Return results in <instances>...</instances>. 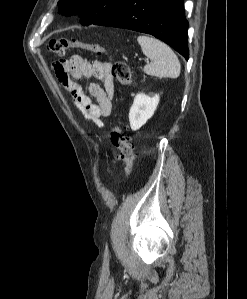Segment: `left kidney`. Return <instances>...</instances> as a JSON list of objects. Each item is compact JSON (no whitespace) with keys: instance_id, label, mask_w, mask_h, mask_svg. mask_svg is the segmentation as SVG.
<instances>
[{"instance_id":"left-kidney-1","label":"left kidney","mask_w":247,"mask_h":299,"mask_svg":"<svg viewBox=\"0 0 247 299\" xmlns=\"http://www.w3.org/2000/svg\"><path fill=\"white\" fill-rule=\"evenodd\" d=\"M159 100L158 94L149 97L144 93H139L135 96L129 112V122L133 131L140 129L153 116Z\"/></svg>"}]
</instances>
